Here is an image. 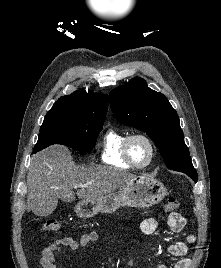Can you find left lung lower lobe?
<instances>
[{
    "label": "left lung lower lobe",
    "instance_id": "0a47b994",
    "mask_svg": "<svg viewBox=\"0 0 221 268\" xmlns=\"http://www.w3.org/2000/svg\"><path fill=\"white\" fill-rule=\"evenodd\" d=\"M183 172L187 174L189 177H191L195 182L197 181V173L195 169L191 171H183Z\"/></svg>",
    "mask_w": 221,
    "mask_h": 268
}]
</instances>
